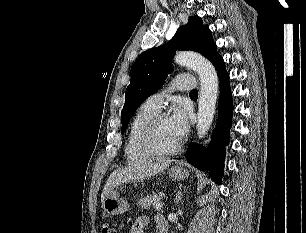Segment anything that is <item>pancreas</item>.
I'll list each match as a JSON object with an SVG mask.
<instances>
[{"instance_id":"obj_1","label":"pancreas","mask_w":306,"mask_h":233,"mask_svg":"<svg viewBox=\"0 0 306 233\" xmlns=\"http://www.w3.org/2000/svg\"><path fill=\"white\" fill-rule=\"evenodd\" d=\"M162 195V193H155L145 196L138 200V204L144 209H149L151 205H154L162 198Z\"/></svg>"}]
</instances>
